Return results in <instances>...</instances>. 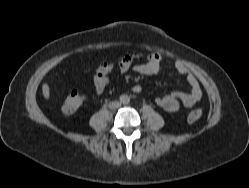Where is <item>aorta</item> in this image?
Wrapping results in <instances>:
<instances>
[{"mask_svg": "<svg viewBox=\"0 0 249 188\" xmlns=\"http://www.w3.org/2000/svg\"><path fill=\"white\" fill-rule=\"evenodd\" d=\"M120 102L124 105H127L130 102V97L126 94L120 96Z\"/></svg>", "mask_w": 249, "mask_h": 188, "instance_id": "1", "label": "aorta"}]
</instances>
